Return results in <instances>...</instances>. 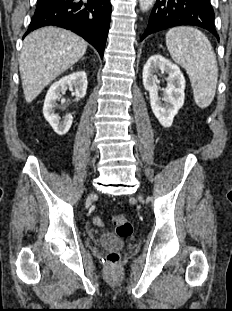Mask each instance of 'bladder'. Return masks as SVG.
<instances>
[{
	"label": "bladder",
	"instance_id": "obj_1",
	"mask_svg": "<svg viewBox=\"0 0 232 311\" xmlns=\"http://www.w3.org/2000/svg\"><path fill=\"white\" fill-rule=\"evenodd\" d=\"M98 243L103 248L121 249L125 242L123 237L112 233H103L99 236Z\"/></svg>",
	"mask_w": 232,
	"mask_h": 311
}]
</instances>
